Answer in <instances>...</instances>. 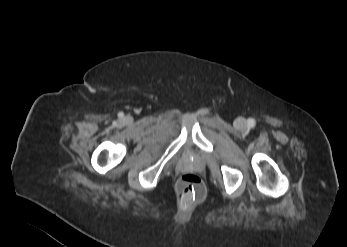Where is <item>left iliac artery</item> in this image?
<instances>
[{
	"label": "left iliac artery",
	"instance_id": "44dca946",
	"mask_svg": "<svg viewBox=\"0 0 347 247\" xmlns=\"http://www.w3.org/2000/svg\"><path fill=\"white\" fill-rule=\"evenodd\" d=\"M248 124L250 127H253L255 125V120L254 119H249Z\"/></svg>",
	"mask_w": 347,
	"mask_h": 247
}]
</instances>
